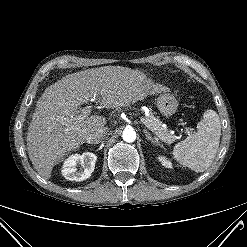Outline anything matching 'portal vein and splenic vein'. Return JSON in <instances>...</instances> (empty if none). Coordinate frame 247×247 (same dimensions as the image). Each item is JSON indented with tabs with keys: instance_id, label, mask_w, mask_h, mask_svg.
Listing matches in <instances>:
<instances>
[{
	"instance_id": "obj_1",
	"label": "portal vein and splenic vein",
	"mask_w": 247,
	"mask_h": 247,
	"mask_svg": "<svg viewBox=\"0 0 247 247\" xmlns=\"http://www.w3.org/2000/svg\"><path fill=\"white\" fill-rule=\"evenodd\" d=\"M96 96V94H94V97ZM91 110L89 107H85L84 109H82L81 114H79L78 116L75 117L76 121H82L83 119H85L89 114H90ZM141 122L145 124V126L150 129L149 125L147 124L145 118H140Z\"/></svg>"
}]
</instances>
